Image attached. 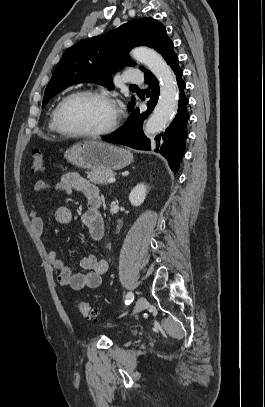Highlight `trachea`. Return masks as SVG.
<instances>
[{
  "mask_svg": "<svg viewBox=\"0 0 265 407\" xmlns=\"http://www.w3.org/2000/svg\"><path fill=\"white\" fill-rule=\"evenodd\" d=\"M131 87H134V86H136V85H130Z\"/></svg>",
  "mask_w": 265,
  "mask_h": 407,
  "instance_id": "obj_1",
  "label": "trachea"
}]
</instances>
